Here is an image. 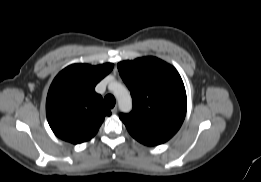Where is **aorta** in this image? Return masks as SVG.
Instances as JSON below:
<instances>
[{"instance_id": "aorta-1", "label": "aorta", "mask_w": 261, "mask_h": 182, "mask_svg": "<svg viewBox=\"0 0 261 182\" xmlns=\"http://www.w3.org/2000/svg\"><path fill=\"white\" fill-rule=\"evenodd\" d=\"M109 86L118 101L119 109L125 113L130 112L132 109V98L128 89L118 82H112Z\"/></svg>"}]
</instances>
